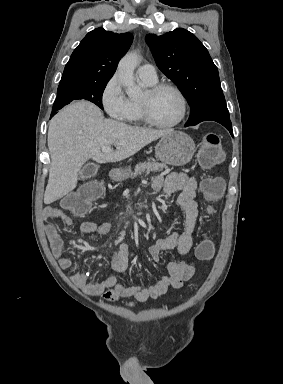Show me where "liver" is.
Instances as JSON below:
<instances>
[{
	"label": "liver",
	"instance_id": "1",
	"mask_svg": "<svg viewBox=\"0 0 283 384\" xmlns=\"http://www.w3.org/2000/svg\"><path fill=\"white\" fill-rule=\"evenodd\" d=\"M167 134H171L170 130H148L106 120L100 108L86 100L72 102L49 122L51 164L44 204H52L72 192L79 170L90 158L98 164L121 162ZM112 144L120 146L114 152H101L103 146L110 148Z\"/></svg>",
	"mask_w": 283,
	"mask_h": 384
}]
</instances>
